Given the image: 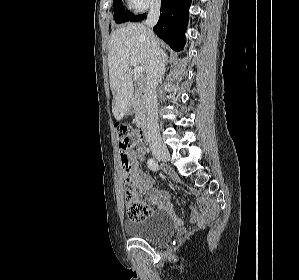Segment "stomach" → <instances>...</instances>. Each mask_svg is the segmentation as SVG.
<instances>
[{
  "label": "stomach",
  "instance_id": "0dacf381",
  "mask_svg": "<svg viewBox=\"0 0 299 280\" xmlns=\"http://www.w3.org/2000/svg\"><path fill=\"white\" fill-rule=\"evenodd\" d=\"M132 113V111L129 109L128 111H127V114H131Z\"/></svg>",
  "mask_w": 299,
  "mask_h": 280
}]
</instances>
